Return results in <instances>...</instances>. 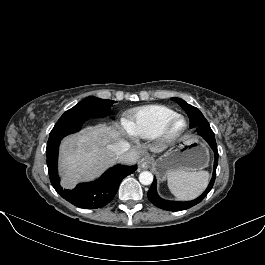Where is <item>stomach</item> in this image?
<instances>
[{"label": "stomach", "mask_w": 265, "mask_h": 265, "mask_svg": "<svg viewBox=\"0 0 265 265\" xmlns=\"http://www.w3.org/2000/svg\"><path fill=\"white\" fill-rule=\"evenodd\" d=\"M208 162L209 150L206 144L197 139H185L159 159L156 169L160 175L166 176L170 171L201 170Z\"/></svg>", "instance_id": "0dacf381"}]
</instances>
